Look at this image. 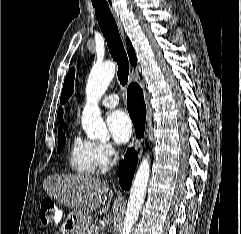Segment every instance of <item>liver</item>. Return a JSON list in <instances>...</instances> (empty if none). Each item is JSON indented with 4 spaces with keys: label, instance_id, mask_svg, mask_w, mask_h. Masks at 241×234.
Returning a JSON list of instances; mask_svg holds the SVG:
<instances>
[{
    "label": "liver",
    "instance_id": "1",
    "mask_svg": "<svg viewBox=\"0 0 241 234\" xmlns=\"http://www.w3.org/2000/svg\"><path fill=\"white\" fill-rule=\"evenodd\" d=\"M43 189L61 204L71 209L87 211V215L101 206L106 194L109 201L100 213L108 211L113 197L107 181L87 174L51 175L43 181Z\"/></svg>",
    "mask_w": 241,
    "mask_h": 234
}]
</instances>
